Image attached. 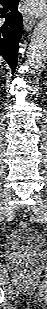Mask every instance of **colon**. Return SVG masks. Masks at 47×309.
Here are the masks:
<instances>
[{
	"label": "colon",
	"instance_id": "colon-1",
	"mask_svg": "<svg viewBox=\"0 0 47 309\" xmlns=\"http://www.w3.org/2000/svg\"><path fill=\"white\" fill-rule=\"evenodd\" d=\"M25 226H26V224H24V223H20V224H19V227H20V228H23V227H25Z\"/></svg>",
	"mask_w": 47,
	"mask_h": 309
}]
</instances>
